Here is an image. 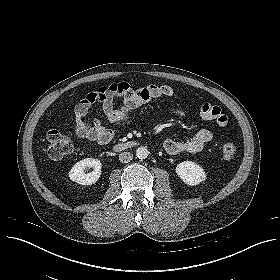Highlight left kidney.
I'll return each instance as SVG.
<instances>
[{"instance_id":"left-kidney-1","label":"left kidney","mask_w":280,"mask_h":280,"mask_svg":"<svg viewBox=\"0 0 280 280\" xmlns=\"http://www.w3.org/2000/svg\"><path fill=\"white\" fill-rule=\"evenodd\" d=\"M175 170L180 179L187 185H198L206 179L204 169L192 161L179 163Z\"/></svg>"}]
</instances>
